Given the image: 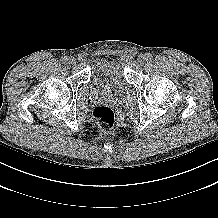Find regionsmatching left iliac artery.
Wrapping results in <instances>:
<instances>
[{
    "mask_svg": "<svg viewBox=\"0 0 218 218\" xmlns=\"http://www.w3.org/2000/svg\"><path fill=\"white\" fill-rule=\"evenodd\" d=\"M146 60H150V59H152V54H150V53H146Z\"/></svg>",
    "mask_w": 218,
    "mask_h": 218,
    "instance_id": "obj_1",
    "label": "left iliac artery"
}]
</instances>
